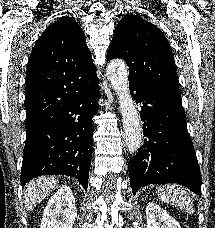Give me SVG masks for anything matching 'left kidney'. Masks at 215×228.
<instances>
[{
  "mask_svg": "<svg viewBox=\"0 0 215 228\" xmlns=\"http://www.w3.org/2000/svg\"><path fill=\"white\" fill-rule=\"evenodd\" d=\"M146 224L147 228H181L172 216L154 202H149L146 206Z\"/></svg>",
  "mask_w": 215,
  "mask_h": 228,
  "instance_id": "5707ae66",
  "label": "left kidney"
}]
</instances>
